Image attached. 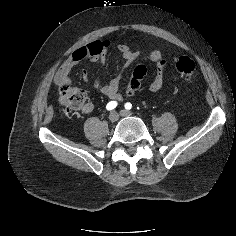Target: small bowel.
I'll return each mask as SVG.
<instances>
[{
  "label": "small bowel",
  "mask_w": 236,
  "mask_h": 236,
  "mask_svg": "<svg viewBox=\"0 0 236 236\" xmlns=\"http://www.w3.org/2000/svg\"><path fill=\"white\" fill-rule=\"evenodd\" d=\"M111 46L112 42L110 40H95L77 49L58 69L54 78L55 83L59 86L68 85L71 82L73 70L83 60H89L94 64L103 65ZM117 49L124 60L123 69L129 66L138 57V52L131 49L126 44H119ZM149 59L155 65V76L149 84V90L151 92H158L163 85L166 62L159 50H152L149 53ZM82 79L86 83L91 81L87 71L83 72ZM120 81L121 74L107 83L100 80H94L92 83L93 86L109 100L119 101L122 99V94L119 91ZM133 93L134 91L132 90H126V95H132ZM93 109L94 105L92 103H86L82 108V111L84 113H90Z\"/></svg>",
  "instance_id": "obj_1"
}]
</instances>
